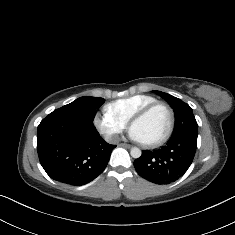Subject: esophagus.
I'll return each mask as SVG.
<instances>
[{
  "mask_svg": "<svg viewBox=\"0 0 235 235\" xmlns=\"http://www.w3.org/2000/svg\"><path fill=\"white\" fill-rule=\"evenodd\" d=\"M118 146L128 148V149L132 147L130 144H127V143H120L118 144Z\"/></svg>",
  "mask_w": 235,
  "mask_h": 235,
  "instance_id": "obj_1",
  "label": "esophagus"
}]
</instances>
